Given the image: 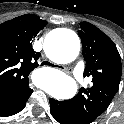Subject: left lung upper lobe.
<instances>
[{
  "label": "left lung upper lobe",
  "instance_id": "5c2ea615",
  "mask_svg": "<svg viewBox=\"0 0 124 124\" xmlns=\"http://www.w3.org/2000/svg\"><path fill=\"white\" fill-rule=\"evenodd\" d=\"M78 34L86 61L84 77L92 78L91 88H81L67 100L76 124H90L101 115L118 91L121 80V58L113 41L96 26L81 22Z\"/></svg>",
  "mask_w": 124,
  "mask_h": 124
}]
</instances>
